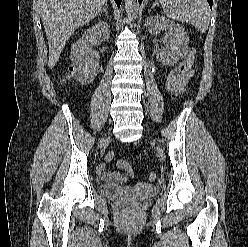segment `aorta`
<instances>
[{
	"label": "aorta",
	"instance_id": "obj_1",
	"mask_svg": "<svg viewBox=\"0 0 248 247\" xmlns=\"http://www.w3.org/2000/svg\"><path fill=\"white\" fill-rule=\"evenodd\" d=\"M125 9L129 19H135L139 10L138 0H125Z\"/></svg>",
	"mask_w": 248,
	"mask_h": 247
}]
</instances>
